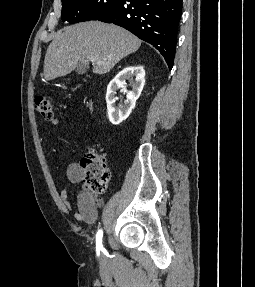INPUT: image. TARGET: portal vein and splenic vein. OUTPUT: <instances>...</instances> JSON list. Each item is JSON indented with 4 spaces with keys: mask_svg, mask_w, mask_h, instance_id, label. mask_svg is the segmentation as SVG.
Segmentation results:
<instances>
[{
    "mask_svg": "<svg viewBox=\"0 0 255 287\" xmlns=\"http://www.w3.org/2000/svg\"><path fill=\"white\" fill-rule=\"evenodd\" d=\"M87 62H93V64H99L98 58H89V60H87Z\"/></svg>",
    "mask_w": 255,
    "mask_h": 287,
    "instance_id": "1",
    "label": "portal vein and splenic vein"
}]
</instances>
